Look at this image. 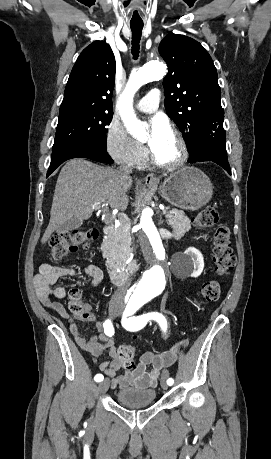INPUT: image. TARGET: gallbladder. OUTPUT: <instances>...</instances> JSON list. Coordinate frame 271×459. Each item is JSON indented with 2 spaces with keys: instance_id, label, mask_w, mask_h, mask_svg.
<instances>
[{
  "instance_id": "bac80fb5",
  "label": "gallbladder",
  "mask_w": 271,
  "mask_h": 459,
  "mask_svg": "<svg viewBox=\"0 0 271 459\" xmlns=\"http://www.w3.org/2000/svg\"><path fill=\"white\" fill-rule=\"evenodd\" d=\"M82 224L83 220H78V218H71V220H68V222H65V224H62V226H58L56 231L57 233H66V231H71V229L80 228Z\"/></svg>"
}]
</instances>
